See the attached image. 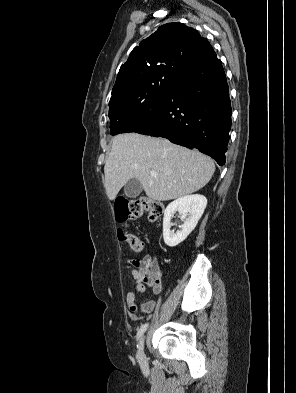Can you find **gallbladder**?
I'll return each instance as SVG.
<instances>
[{"instance_id": "gallbladder-1", "label": "gallbladder", "mask_w": 296, "mask_h": 393, "mask_svg": "<svg viewBox=\"0 0 296 393\" xmlns=\"http://www.w3.org/2000/svg\"><path fill=\"white\" fill-rule=\"evenodd\" d=\"M142 191L141 183L135 178L130 179L124 187V194L129 198H136Z\"/></svg>"}]
</instances>
